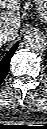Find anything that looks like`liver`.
Wrapping results in <instances>:
<instances>
[{
    "instance_id": "liver-1",
    "label": "liver",
    "mask_w": 47,
    "mask_h": 129,
    "mask_svg": "<svg viewBox=\"0 0 47 129\" xmlns=\"http://www.w3.org/2000/svg\"><path fill=\"white\" fill-rule=\"evenodd\" d=\"M0 7L6 9L0 13V30L9 29L14 31L15 36L20 28L21 17L19 14L20 0H0ZM0 43H4L1 42Z\"/></svg>"
}]
</instances>
